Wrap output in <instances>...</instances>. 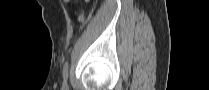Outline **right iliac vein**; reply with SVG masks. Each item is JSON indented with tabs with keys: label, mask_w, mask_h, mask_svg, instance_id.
Listing matches in <instances>:
<instances>
[{
	"label": "right iliac vein",
	"mask_w": 209,
	"mask_h": 90,
	"mask_svg": "<svg viewBox=\"0 0 209 90\" xmlns=\"http://www.w3.org/2000/svg\"><path fill=\"white\" fill-rule=\"evenodd\" d=\"M63 88H64V90H68V85H67V83H64Z\"/></svg>",
	"instance_id": "1"
}]
</instances>
